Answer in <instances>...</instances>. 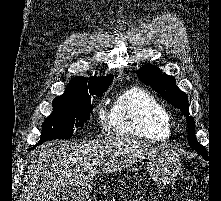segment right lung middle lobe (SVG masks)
<instances>
[{
    "label": "right lung middle lobe",
    "mask_w": 221,
    "mask_h": 201,
    "mask_svg": "<svg viewBox=\"0 0 221 201\" xmlns=\"http://www.w3.org/2000/svg\"><path fill=\"white\" fill-rule=\"evenodd\" d=\"M99 91L83 97L58 96L53 100V111L42 124L38 143L51 139H69L75 128L82 127L89 119L92 110L91 97L101 96Z\"/></svg>",
    "instance_id": "dd1d6c3e"
}]
</instances>
